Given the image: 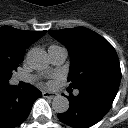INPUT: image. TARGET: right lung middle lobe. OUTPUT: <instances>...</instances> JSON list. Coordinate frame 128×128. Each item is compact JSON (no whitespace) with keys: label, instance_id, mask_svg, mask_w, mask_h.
<instances>
[{"label":"right lung middle lobe","instance_id":"dd1d6c3e","mask_svg":"<svg viewBox=\"0 0 128 128\" xmlns=\"http://www.w3.org/2000/svg\"><path fill=\"white\" fill-rule=\"evenodd\" d=\"M19 64H14L8 60L0 59V85L8 83L12 72L17 70Z\"/></svg>","mask_w":128,"mask_h":128}]
</instances>
